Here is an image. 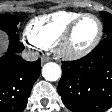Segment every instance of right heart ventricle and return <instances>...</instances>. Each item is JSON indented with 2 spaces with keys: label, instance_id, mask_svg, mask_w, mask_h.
I'll use <instances>...</instances> for the list:
<instances>
[{
  "label": "right heart ventricle",
  "instance_id": "e07e8e85",
  "mask_svg": "<svg viewBox=\"0 0 112 112\" xmlns=\"http://www.w3.org/2000/svg\"><path fill=\"white\" fill-rule=\"evenodd\" d=\"M81 14L59 10L35 17L27 26V35L37 46L52 48L68 25Z\"/></svg>",
  "mask_w": 112,
  "mask_h": 112
}]
</instances>
